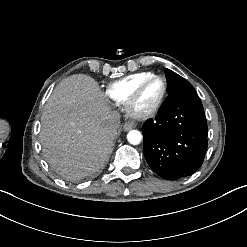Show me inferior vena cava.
Listing matches in <instances>:
<instances>
[{
    "mask_svg": "<svg viewBox=\"0 0 247 247\" xmlns=\"http://www.w3.org/2000/svg\"><path fill=\"white\" fill-rule=\"evenodd\" d=\"M108 120L110 122L111 130L114 136H117L120 133V115L118 112L113 111L108 115Z\"/></svg>",
    "mask_w": 247,
    "mask_h": 247,
    "instance_id": "obj_1",
    "label": "inferior vena cava"
}]
</instances>
